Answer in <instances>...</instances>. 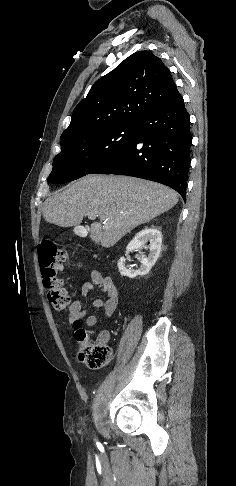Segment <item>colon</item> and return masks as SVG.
I'll return each instance as SVG.
<instances>
[{
  "label": "colon",
  "instance_id": "obj_1",
  "mask_svg": "<svg viewBox=\"0 0 236 486\" xmlns=\"http://www.w3.org/2000/svg\"><path fill=\"white\" fill-rule=\"evenodd\" d=\"M38 256L48 301L54 310L63 311L70 304V296L63 281L57 277V272L68 254L52 242H45L39 247ZM74 338L79 345L80 361L84 364L91 368H101L108 362L110 347L105 342L91 341L80 321L74 325Z\"/></svg>",
  "mask_w": 236,
  "mask_h": 486
}]
</instances>
